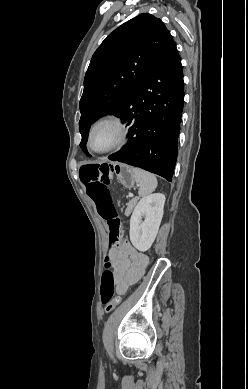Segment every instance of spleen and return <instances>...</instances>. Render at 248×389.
<instances>
[{"label": "spleen", "mask_w": 248, "mask_h": 389, "mask_svg": "<svg viewBox=\"0 0 248 389\" xmlns=\"http://www.w3.org/2000/svg\"><path fill=\"white\" fill-rule=\"evenodd\" d=\"M131 174L139 187V196L145 197L156 189L157 179L152 173L139 168H131Z\"/></svg>", "instance_id": "1"}]
</instances>
